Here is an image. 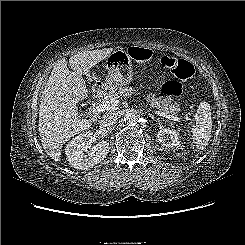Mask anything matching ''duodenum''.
Instances as JSON below:
<instances>
[{
	"label": "duodenum",
	"instance_id": "duodenum-1",
	"mask_svg": "<svg viewBox=\"0 0 245 245\" xmlns=\"http://www.w3.org/2000/svg\"><path fill=\"white\" fill-rule=\"evenodd\" d=\"M104 91H105V86L104 85H101V84H98V85H96V86L93 87V89H92V95L97 98V97L102 96V94L104 93Z\"/></svg>",
	"mask_w": 245,
	"mask_h": 245
}]
</instances>
